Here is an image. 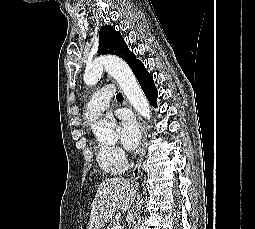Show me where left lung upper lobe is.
Segmentation results:
<instances>
[{
	"label": "left lung upper lobe",
	"instance_id": "1",
	"mask_svg": "<svg viewBox=\"0 0 255 229\" xmlns=\"http://www.w3.org/2000/svg\"><path fill=\"white\" fill-rule=\"evenodd\" d=\"M98 54H112L117 55L124 59L129 66L132 67L136 64L133 52H130L121 34L117 32L111 25L102 26L99 34V47Z\"/></svg>",
	"mask_w": 255,
	"mask_h": 229
}]
</instances>
